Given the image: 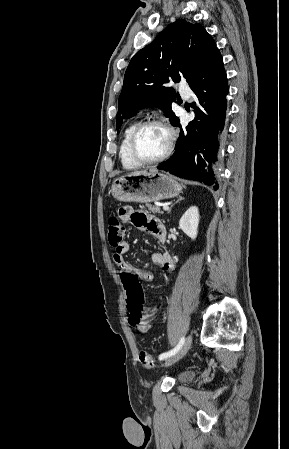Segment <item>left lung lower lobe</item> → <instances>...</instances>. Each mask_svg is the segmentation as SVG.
Segmentation results:
<instances>
[{
    "label": "left lung lower lobe",
    "instance_id": "0a47b994",
    "mask_svg": "<svg viewBox=\"0 0 289 449\" xmlns=\"http://www.w3.org/2000/svg\"><path fill=\"white\" fill-rule=\"evenodd\" d=\"M198 98L195 119L180 127L174 154L157 168L180 178L202 182L218 189L216 164L225 147L227 135V77L223 59L215 48L201 66L197 78L189 84Z\"/></svg>",
    "mask_w": 289,
    "mask_h": 449
}]
</instances>
